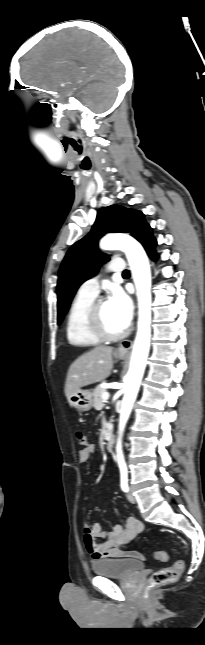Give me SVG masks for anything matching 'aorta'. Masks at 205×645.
Instances as JSON below:
<instances>
[{"label":"aorta","instance_id":"aorta-1","mask_svg":"<svg viewBox=\"0 0 205 645\" xmlns=\"http://www.w3.org/2000/svg\"><path fill=\"white\" fill-rule=\"evenodd\" d=\"M100 247L104 250L119 249L125 252L132 271L138 298V329L133 345L130 368L127 374L128 382L122 400L119 438L116 446L117 459L121 464L124 463L121 437L140 388L150 348L151 271L143 247L129 236L120 234L108 235L101 240Z\"/></svg>","mask_w":205,"mask_h":645}]
</instances>
